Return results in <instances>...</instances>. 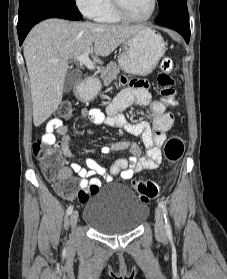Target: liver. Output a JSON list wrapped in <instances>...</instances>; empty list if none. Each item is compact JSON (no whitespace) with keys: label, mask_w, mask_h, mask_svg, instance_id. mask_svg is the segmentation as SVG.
Listing matches in <instances>:
<instances>
[{"label":"liver","mask_w":227,"mask_h":279,"mask_svg":"<svg viewBox=\"0 0 227 279\" xmlns=\"http://www.w3.org/2000/svg\"><path fill=\"white\" fill-rule=\"evenodd\" d=\"M114 25L47 19L37 24L24 41V58L30 78L35 127L45 122L62 101L68 62L88 53L95 62L107 57L141 29Z\"/></svg>","instance_id":"6515ba94"}]
</instances>
